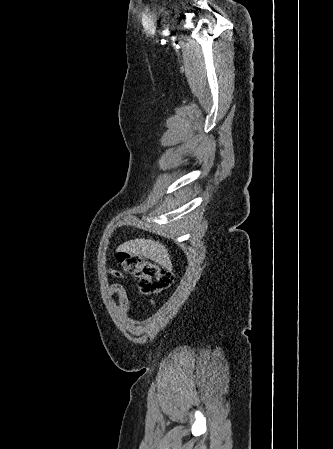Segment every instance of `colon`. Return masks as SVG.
Wrapping results in <instances>:
<instances>
[{
    "label": "colon",
    "mask_w": 333,
    "mask_h": 449,
    "mask_svg": "<svg viewBox=\"0 0 333 449\" xmlns=\"http://www.w3.org/2000/svg\"><path fill=\"white\" fill-rule=\"evenodd\" d=\"M115 259L125 271L137 277L138 288L145 295L158 294L168 289L174 282L171 271L139 254L119 251Z\"/></svg>",
    "instance_id": "colon-1"
}]
</instances>
